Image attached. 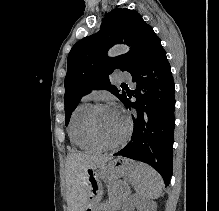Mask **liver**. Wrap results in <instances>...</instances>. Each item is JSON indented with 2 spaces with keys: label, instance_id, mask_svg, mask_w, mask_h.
<instances>
[{
  "label": "liver",
  "instance_id": "obj_1",
  "mask_svg": "<svg viewBox=\"0 0 219 211\" xmlns=\"http://www.w3.org/2000/svg\"><path fill=\"white\" fill-rule=\"evenodd\" d=\"M111 155H87V153H70L66 159V199L69 211H85L87 191L83 183V167H94L109 161Z\"/></svg>",
  "mask_w": 219,
  "mask_h": 211
}]
</instances>
